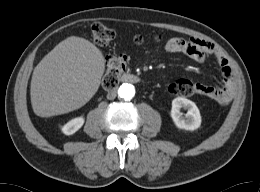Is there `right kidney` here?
I'll use <instances>...</instances> for the list:
<instances>
[{
    "mask_svg": "<svg viewBox=\"0 0 260 192\" xmlns=\"http://www.w3.org/2000/svg\"><path fill=\"white\" fill-rule=\"evenodd\" d=\"M84 118L83 117H76L69 122H67L63 127H62V132L65 135H72L76 131H78L84 124Z\"/></svg>",
    "mask_w": 260,
    "mask_h": 192,
    "instance_id": "ca27d5eb",
    "label": "right kidney"
}]
</instances>
